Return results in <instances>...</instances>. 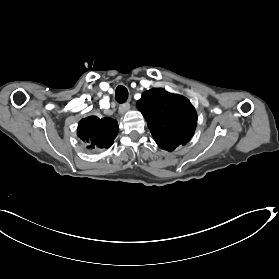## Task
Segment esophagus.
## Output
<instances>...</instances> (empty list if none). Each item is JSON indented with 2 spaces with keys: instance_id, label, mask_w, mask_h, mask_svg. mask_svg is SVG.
Returning a JSON list of instances; mask_svg holds the SVG:
<instances>
[{
  "instance_id": "obj_1",
  "label": "esophagus",
  "mask_w": 279,
  "mask_h": 279,
  "mask_svg": "<svg viewBox=\"0 0 279 279\" xmlns=\"http://www.w3.org/2000/svg\"><path fill=\"white\" fill-rule=\"evenodd\" d=\"M129 108H130L129 102H125V103L121 104L119 106V114L120 115L125 114V112L129 110Z\"/></svg>"
}]
</instances>
